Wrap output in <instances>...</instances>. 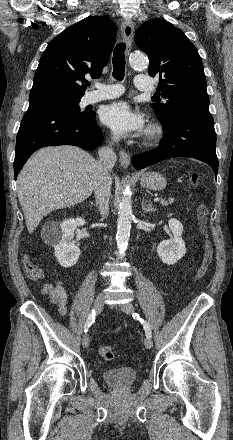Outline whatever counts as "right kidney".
<instances>
[{
  "label": "right kidney",
  "instance_id": "1",
  "mask_svg": "<svg viewBox=\"0 0 233 440\" xmlns=\"http://www.w3.org/2000/svg\"><path fill=\"white\" fill-rule=\"evenodd\" d=\"M85 223V220L79 217L61 223L51 221L43 227L41 234L43 241L54 248L55 257L64 268L72 267L78 262L80 249L73 240L74 231Z\"/></svg>",
  "mask_w": 233,
  "mask_h": 440
}]
</instances>
